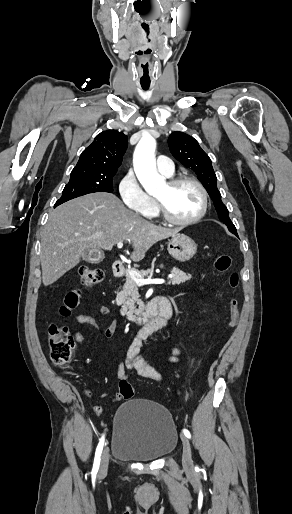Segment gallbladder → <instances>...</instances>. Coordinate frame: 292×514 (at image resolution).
<instances>
[{
    "instance_id": "obj_1",
    "label": "gallbladder",
    "mask_w": 292,
    "mask_h": 514,
    "mask_svg": "<svg viewBox=\"0 0 292 514\" xmlns=\"http://www.w3.org/2000/svg\"><path fill=\"white\" fill-rule=\"evenodd\" d=\"M82 258H83V260H86V262H88L89 256H88L87 252H84V254H82Z\"/></svg>"
}]
</instances>
